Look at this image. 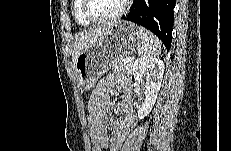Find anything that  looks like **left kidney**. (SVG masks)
<instances>
[{
	"mask_svg": "<svg viewBox=\"0 0 231 151\" xmlns=\"http://www.w3.org/2000/svg\"><path fill=\"white\" fill-rule=\"evenodd\" d=\"M164 73L162 60L152 57L138 58L133 67L132 74L136 84L145 82V100L138 110V118L144 119L152 110Z\"/></svg>",
	"mask_w": 231,
	"mask_h": 151,
	"instance_id": "5707ae66",
	"label": "left kidney"
}]
</instances>
